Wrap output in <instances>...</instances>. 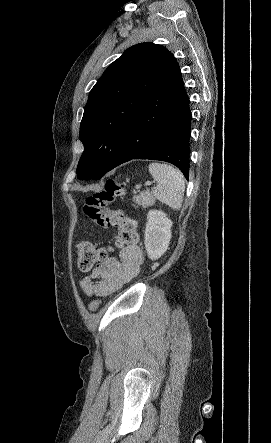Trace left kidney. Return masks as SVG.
Segmentation results:
<instances>
[{
  "label": "left kidney",
  "instance_id": "1",
  "mask_svg": "<svg viewBox=\"0 0 271 443\" xmlns=\"http://www.w3.org/2000/svg\"><path fill=\"white\" fill-rule=\"evenodd\" d=\"M172 222L164 212L150 210L145 229V247L150 259H158L168 249Z\"/></svg>",
  "mask_w": 271,
  "mask_h": 443
}]
</instances>
